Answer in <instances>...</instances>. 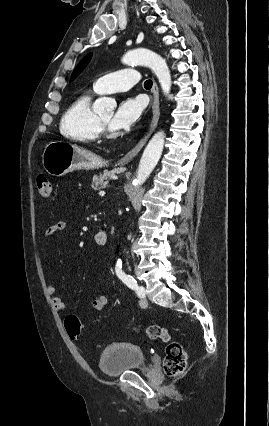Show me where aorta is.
Returning <instances> with one entry per match:
<instances>
[{"label":"aorta","instance_id":"762f6f07","mask_svg":"<svg viewBox=\"0 0 269 426\" xmlns=\"http://www.w3.org/2000/svg\"><path fill=\"white\" fill-rule=\"evenodd\" d=\"M122 62L126 65H143L149 67L158 78L161 89L164 94H168L171 89V74L166 61L157 53L149 49H135L129 51L122 58ZM116 106L113 99L102 97L95 101L93 104L94 112L101 114L106 111L112 112ZM165 141V133L159 131L153 135L148 145L146 146L137 170V176L133 181L135 188L142 185L155 166L157 165Z\"/></svg>","mask_w":269,"mask_h":426}]
</instances>
